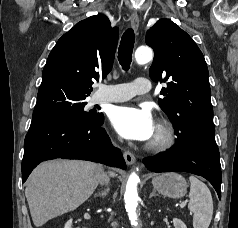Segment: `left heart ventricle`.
<instances>
[{
	"mask_svg": "<svg viewBox=\"0 0 238 228\" xmlns=\"http://www.w3.org/2000/svg\"><path fill=\"white\" fill-rule=\"evenodd\" d=\"M154 137H155V134H154V136L152 137V139H151V140H153V139H154Z\"/></svg>",
	"mask_w": 238,
	"mask_h": 228,
	"instance_id": "obj_1",
	"label": "left heart ventricle"
}]
</instances>
